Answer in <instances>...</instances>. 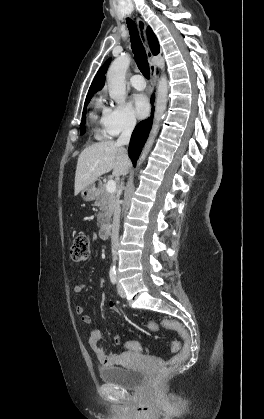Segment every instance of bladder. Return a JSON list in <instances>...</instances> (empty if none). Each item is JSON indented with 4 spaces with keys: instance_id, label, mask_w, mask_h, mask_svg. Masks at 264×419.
I'll list each match as a JSON object with an SVG mask.
<instances>
[{
    "instance_id": "obj_1",
    "label": "bladder",
    "mask_w": 264,
    "mask_h": 419,
    "mask_svg": "<svg viewBox=\"0 0 264 419\" xmlns=\"http://www.w3.org/2000/svg\"><path fill=\"white\" fill-rule=\"evenodd\" d=\"M99 377L104 383L123 389H135L143 383L145 372L142 368L112 366L100 369Z\"/></svg>"
}]
</instances>
